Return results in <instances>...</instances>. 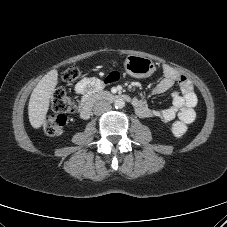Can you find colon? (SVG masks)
<instances>
[{
	"mask_svg": "<svg viewBox=\"0 0 227 227\" xmlns=\"http://www.w3.org/2000/svg\"><path fill=\"white\" fill-rule=\"evenodd\" d=\"M80 74L81 72L77 67H71L64 73L63 79L66 82H74ZM51 106L54 113L45 118L43 129L47 135L57 136L62 133L67 124L66 114L75 110V103L65 90L57 88L52 94Z\"/></svg>",
	"mask_w": 227,
	"mask_h": 227,
	"instance_id": "colon-1",
	"label": "colon"
}]
</instances>
